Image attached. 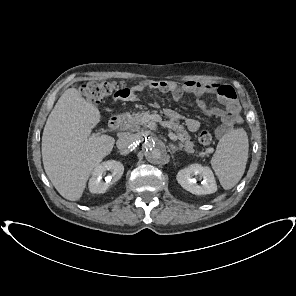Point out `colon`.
<instances>
[{
  "label": "colon",
  "instance_id": "5ec220e1",
  "mask_svg": "<svg viewBox=\"0 0 296 296\" xmlns=\"http://www.w3.org/2000/svg\"><path fill=\"white\" fill-rule=\"evenodd\" d=\"M123 83L114 81H92L84 84L80 88L81 94L91 102H100L108 97H122L127 93ZM198 141L206 146L212 142L210 132L203 130L199 133Z\"/></svg>",
  "mask_w": 296,
  "mask_h": 296
}]
</instances>
